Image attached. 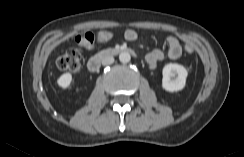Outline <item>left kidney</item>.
<instances>
[{"instance_id": "5707ae66", "label": "left kidney", "mask_w": 244, "mask_h": 157, "mask_svg": "<svg viewBox=\"0 0 244 157\" xmlns=\"http://www.w3.org/2000/svg\"><path fill=\"white\" fill-rule=\"evenodd\" d=\"M162 88L168 92L180 91L185 87L188 72L177 63H169L162 70Z\"/></svg>"}]
</instances>
